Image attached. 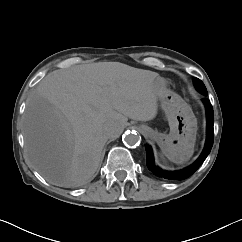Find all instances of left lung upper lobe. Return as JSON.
Here are the masks:
<instances>
[{
	"mask_svg": "<svg viewBox=\"0 0 242 242\" xmlns=\"http://www.w3.org/2000/svg\"><path fill=\"white\" fill-rule=\"evenodd\" d=\"M194 84L198 91H200L205 96L207 95L206 87L200 79L194 78Z\"/></svg>",
	"mask_w": 242,
	"mask_h": 242,
	"instance_id": "obj_1",
	"label": "left lung upper lobe"
}]
</instances>
